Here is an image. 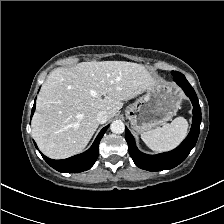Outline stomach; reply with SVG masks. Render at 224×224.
<instances>
[{
  "label": "stomach",
  "mask_w": 224,
  "mask_h": 224,
  "mask_svg": "<svg viewBox=\"0 0 224 224\" xmlns=\"http://www.w3.org/2000/svg\"><path fill=\"white\" fill-rule=\"evenodd\" d=\"M182 99V92L177 86L158 82L128 105L125 115L137 133H144L171 120L180 108Z\"/></svg>",
  "instance_id": "obj_1"
}]
</instances>
